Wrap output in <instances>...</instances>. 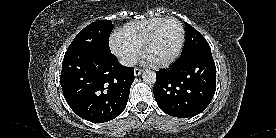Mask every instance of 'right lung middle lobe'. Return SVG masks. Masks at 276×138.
I'll use <instances>...</instances> for the list:
<instances>
[{"label": "right lung middle lobe", "mask_w": 276, "mask_h": 138, "mask_svg": "<svg viewBox=\"0 0 276 138\" xmlns=\"http://www.w3.org/2000/svg\"><path fill=\"white\" fill-rule=\"evenodd\" d=\"M113 27L110 20H99L89 24L74 38L65 55L85 49L110 51L109 35Z\"/></svg>", "instance_id": "obj_1"}]
</instances>
